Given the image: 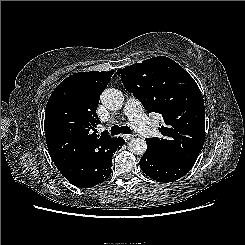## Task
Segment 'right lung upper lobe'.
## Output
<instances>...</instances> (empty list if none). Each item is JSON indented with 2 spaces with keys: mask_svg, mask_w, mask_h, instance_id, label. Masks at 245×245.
<instances>
[{
  "mask_svg": "<svg viewBox=\"0 0 245 245\" xmlns=\"http://www.w3.org/2000/svg\"><path fill=\"white\" fill-rule=\"evenodd\" d=\"M114 71L79 72L53 91L45 110V135L55 165H70L87 178V160L94 148L111 141L108 132L97 135L96 109Z\"/></svg>",
  "mask_w": 245,
  "mask_h": 245,
  "instance_id": "1",
  "label": "right lung upper lobe"
}]
</instances>
